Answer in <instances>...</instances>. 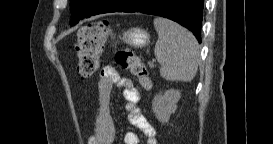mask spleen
Instances as JSON below:
<instances>
[{
	"label": "spleen",
	"mask_w": 273,
	"mask_h": 144,
	"mask_svg": "<svg viewBox=\"0 0 273 144\" xmlns=\"http://www.w3.org/2000/svg\"><path fill=\"white\" fill-rule=\"evenodd\" d=\"M154 27L158 33L154 54L161 65V77L167 81H192L199 61V48L194 35L162 17L154 19Z\"/></svg>",
	"instance_id": "obj_1"
}]
</instances>
